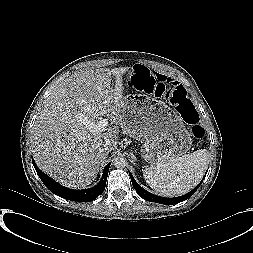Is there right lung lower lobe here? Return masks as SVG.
<instances>
[{
  "label": "right lung lower lobe",
  "mask_w": 253,
  "mask_h": 253,
  "mask_svg": "<svg viewBox=\"0 0 253 253\" xmlns=\"http://www.w3.org/2000/svg\"><path fill=\"white\" fill-rule=\"evenodd\" d=\"M32 162L34 165V168L40 177L41 181L45 184V186L54 194L68 199L72 201H82V202H89L93 201L96 199L105 189L106 186V180L110 168V163L106 165L104 168L103 176L100 180V182L89 189H82V190H74V189H69L66 187L61 186L59 183L54 181L52 178L47 176L45 173H43L35 164L33 158Z\"/></svg>",
  "instance_id": "right-lung-lower-lobe-1"
}]
</instances>
